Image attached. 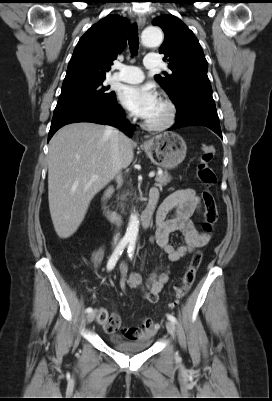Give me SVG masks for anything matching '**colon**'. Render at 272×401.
<instances>
[{
    "label": "colon",
    "instance_id": "colon-1",
    "mask_svg": "<svg viewBox=\"0 0 272 401\" xmlns=\"http://www.w3.org/2000/svg\"><path fill=\"white\" fill-rule=\"evenodd\" d=\"M215 156V148L211 145H204L201 149V155L199 162L196 166L197 176L202 183V202L204 207V221L203 229L206 233L211 232L214 224L217 221V203L213 192V188L217 184V175L211 167V162ZM202 259L201 252H196L190 262L188 269L186 270L180 286L174 293L175 301L170 304V307L174 305L178 300L183 298L190 290L196 275V271L200 265ZM112 319L111 314L107 312H99L98 320L103 325L107 324ZM146 321L150 322L151 319ZM153 322V321H152Z\"/></svg>",
    "mask_w": 272,
    "mask_h": 401
}]
</instances>
